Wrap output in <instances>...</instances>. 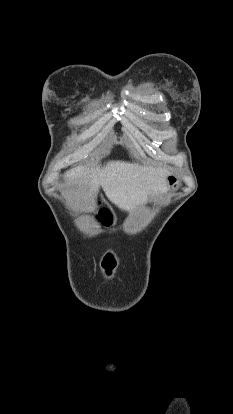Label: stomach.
Segmentation results:
<instances>
[{"mask_svg": "<svg viewBox=\"0 0 233 414\" xmlns=\"http://www.w3.org/2000/svg\"><path fill=\"white\" fill-rule=\"evenodd\" d=\"M168 189H174L179 185V180L174 174H169L168 177Z\"/></svg>", "mask_w": 233, "mask_h": 414, "instance_id": "obj_1", "label": "stomach"}]
</instances>
